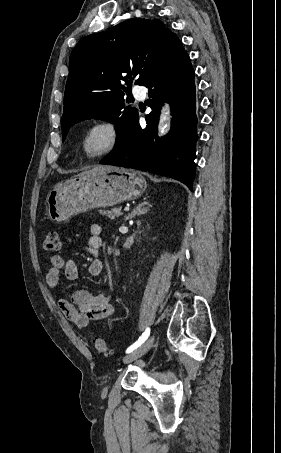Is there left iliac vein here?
<instances>
[{
	"label": "left iliac vein",
	"instance_id": "obj_1",
	"mask_svg": "<svg viewBox=\"0 0 281 453\" xmlns=\"http://www.w3.org/2000/svg\"><path fill=\"white\" fill-rule=\"evenodd\" d=\"M155 338L156 337L152 335L150 338L147 339V341L144 342V344H141V346H138L137 349L132 351L131 354L126 355V357H123V361L125 362V364L129 365L130 362H134L135 359L139 358V356H143L144 353H147L151 345L154 344Z\"/></svg>",
	"mask_w": 281,
	"mask_h": 453
}]
</instances>
